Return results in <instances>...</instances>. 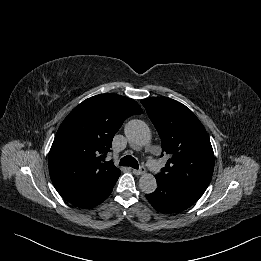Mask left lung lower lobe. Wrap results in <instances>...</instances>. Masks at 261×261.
Listing matches in <instances>:
<instances>
[{"label": "left lung lower lobe", "instance_id": "obj_1", "mask_svg": "<svg viewBox=\"0 0 261 261\" xmlns=\"http://www.w3.org/2000/svg\"><path fill=\"white\" fill-rule=\"evenodd\" d=\"M158 188L151 194H146L147 200L159 212L177 213L193 205L205 191L197 188L167 182L156 177Z\"/></svg>", "mask_w": 261, "mask_h": 261}]
</instances>
